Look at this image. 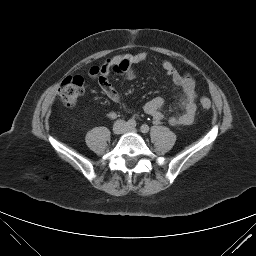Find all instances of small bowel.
<instances>
[{
  "label": "small bowel",
  "mask_w": 256,
  "mask_h": 256,
  "mask_svg": "<svg viewBox=\"0 0 256 256\" xmlns=\"http://www.w3.org/2000/svg\"><path fill=\"white\" fill-rule=\"evenodd\" d=\"M148 54L146 51L137 53H124L107 59L101 66L99 76V85L105 95L113 102L120 101L119 92L111 85L108 76L111 72L122 74L129 79L136 78V72L133 69L135 64L146 60ZM162 69L171 81L181 90L179 99L180 111L167 118L172 126H187L194 121L196 113L197 93L194 81L190 75L180 72L171 62L163 61ZM164 101L162 98L156 97L144 105V111L150 115L155 121L166 119L162 111Z\"/></svg>",
  "instance_id": "1"
}]
</instances>
